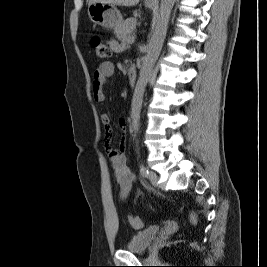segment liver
<instances>
[{"mask_svg":"<svg viewBox=\"0 0 267 267\" xmlns=\"http://www.w3.org/2000/svg\"><path fill=\"white\" fill-rule=\"evenodd\" d=\"M96 2L110 4V5L132 7L137 5L140 2V0H89V5Z\"/></svg>","mask_w":267,"mask_h":267,"instance_id":"liver-1","label":"liver"}]
</instances>
